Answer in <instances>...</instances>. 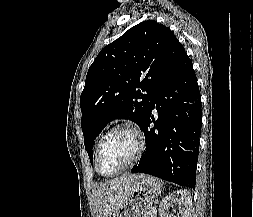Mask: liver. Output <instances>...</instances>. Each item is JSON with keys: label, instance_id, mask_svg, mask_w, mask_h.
Listing matches in <instances>:
<instances>
[{"label": "liver", "instance_id": "obj_1", "mask_svg": "<svg viewBox=\"0 0 253 217\" xmlns=\"http://www.w3.org/2000/svg\"><path fill=\"white\" fill-rule=\"evenodd\" d=\"M141 177L139 174H123L98 184L93 190L94 217H117L133 190V184Z\"/></svg>", "mask_w": 253, "mask_h": 217}]
</instances>
